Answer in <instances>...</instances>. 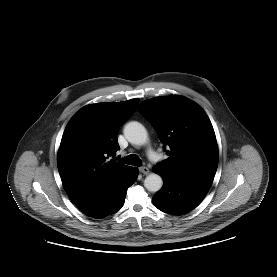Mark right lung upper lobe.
<instances>
[{"mask_svg":"<svg viewBox=\"0 0 277 277\" xmlns=\"http://www.w3.org/2000/svg\"><path fill=\"white\" fill-rule=\"evenodd\" d=\"M138 99L80 109L69 121L57 156L64 189L76 205L87 203L130 167L111 159L119 149V127L135 112Z\"/></svg>","mask_w":277,"mask_h":277,"instance_id":"right-lung-upper-lobe-1","label":"right lung upper lobe"}]
</instances>
